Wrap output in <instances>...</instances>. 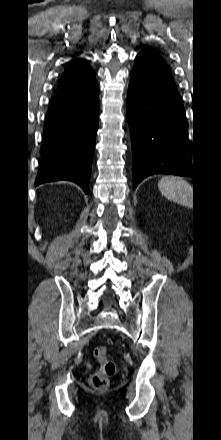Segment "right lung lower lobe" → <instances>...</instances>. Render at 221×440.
I'll list each match as a JSON object with an SVG mask.
<instances>
[{
    "instance_id": "right-lung-lower-lobe-1",
    "label": "right lung lower lobe",
    "mask_w": 221,
    "mask_h": 440,
    "mask_svg": "<svg viewBox=\"0 0 221 440\" xmlns=\"http://www.w3.org/2000/svg\"><path fill=\"white\" fill-rule=\"evenodd\" d=\"M95 79L58 88L51 100L35 184L68 180L89 192V179L99 121Z\"/></svg>"
}]
</instances>
